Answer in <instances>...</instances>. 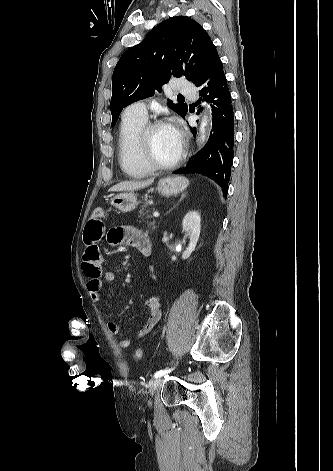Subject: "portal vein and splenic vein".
I'll use <instances>...</instances> for the list:
<instances>
[{
  "mask_svg": "<svg viewBox=\"0 0 333 471\" xmlns=\"http://www.w3.org/2000/svg\"><path fill=\"white\" fill-rule=\"evenodd\" d=\"M153 217H155V218L159 217V213H158V212H154V213H153Z\"/></svg>",
  "mask_w": 333,
  "mask_h": 471,
  "instance_id": "1",
  "label": "portal vein and splenic vein"
}]
</instances>
